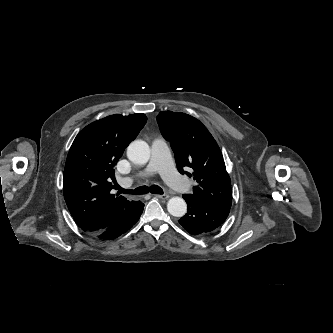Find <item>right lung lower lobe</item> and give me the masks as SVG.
Here are the masks:
<instances>
[{
	"label": "right lung lower lobe",
	"mask_w": 333,
	"mask_h": 333,
	"mask_svg": "<svg viewBox=\"0 0 333 333\" xmlns=\"http://www.w3.org/2000/svg\"><path fill=\"white\" fill-rule=\"evenodd\" d=\"M143 207L144 204L141 201H136L135 208L133 210L124 214L106 228L91 234L103 240H111L121 236L139 220L140 215L143 212Z\"/></svg>",
	"instance_id": "98d812e1"
}]
</instances>
